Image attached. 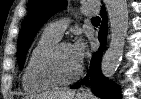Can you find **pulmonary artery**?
I'll return each instance as SVG.
<instances>
[{"mask_svg":"<svg viewBox=\"0 0 141 99\" xmlns=\"http://www.w3.org/2000/svg\"><path fill=\"white\" fill-rule=\"evenodd\" d=\"M96 11L97 8L93 4H85L81 8V13L84 15H92ZM68 21L69 20L67 19H62V20L51 22L45 27L44 32L58 39L61 37L64 29L68 24Z\"/></svg>","mask_w":141,"mask_h":99,"instance_id":"e3ab8cb5","label":"pulmonary artery"}]
</instances>
